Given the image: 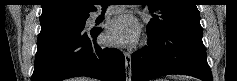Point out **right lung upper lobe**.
<instances>
[{
	"label": "right lung upper lobe",
	"mask_w": 237,
	"mask_h": 81,
	"mask_svg": "<svg viewBox=\"0 0 237 81\" xmlns=\"http://www.w3.org/2000/svg\"><path fill=\"white\" fill-rule=\"evenodd\" d=\"M95 10L92 0H43L40 22L89 16Z\"/></svg>",
	"instance_id": "obj_1"
}]
</instances>
